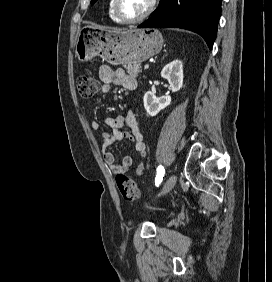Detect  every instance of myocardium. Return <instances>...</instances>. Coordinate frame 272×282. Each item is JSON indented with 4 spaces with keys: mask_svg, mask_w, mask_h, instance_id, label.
Returning <instances> with one entry per match:
<instances>
[{
    "mask_svg": "<svg viewBox=\"0 0 272 282\" xmlns=\"http://www.w3.org/2000/svg\"><path fill=\"white\" fill-rule=\"evenodd\" d=\"M158 0H152L149 8L140 16L137 17H128L124 15L119 7V0H112V8L114 10L115 15L125 23H137L146 18H148L156 9Z\"/></svg>",
    "mask_w": 272,
    "mask_h": 282,
    "instance_id": "f54148a6",
    "label": "myocardium"
}]
</instances>
